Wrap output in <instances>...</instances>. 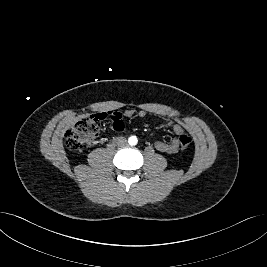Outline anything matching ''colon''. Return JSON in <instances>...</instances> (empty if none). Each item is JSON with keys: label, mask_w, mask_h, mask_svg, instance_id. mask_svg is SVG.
Masks as SVG:
<instances>
[{"label": "colon", "mask_w": 267, "mask_h": 267, "mask_svg": "<svg viewBox=\"0 0 267 267\" xmlns=\"http://www.w3.org/2000/svg\"><path fill=\"white\" fill-rule=\"evenodd\" d=\"M104 119L103 114L88 115L79 119L65 132L66 147L71 151L83 149L97 137ZM178 140L183 149H187L192 142L190 136L184 132L178 134Z\"/></svg>", "instance_id": "obj_1"}]
</instances>
